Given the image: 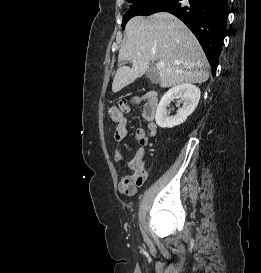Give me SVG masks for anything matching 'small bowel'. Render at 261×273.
<instances>
[{"label": "small bowel", "instance_id": "obj_1", "mask_svg": "<svg viewBox=\"0 0 261 273\" xmlns=\"http://www.w3.org/2000/svg\"><path fill=\"white\" fill-rule=\"evenodd\" d=\"M140 102H145L142 113L147 125L145 129L138 128L135 132V137L140 147L131 160H126L124 158L121 146L128 136V129L126 126L127 120L125 117L117 122L118 127L114 134L115 145L113 148V159L117 163H123L132 170L131 173L122 175L118 183V191L126 196L134 195L137 188L146 180L147 172L144 167V158L146 155L145 146L157 133V124L154 121L158 106L157 99L153 98L152 94L147 92L140 96H136L133 100V104H139Z\"/></svg>", "mask_w": 261, "mask_h": 273}]
</instances>
